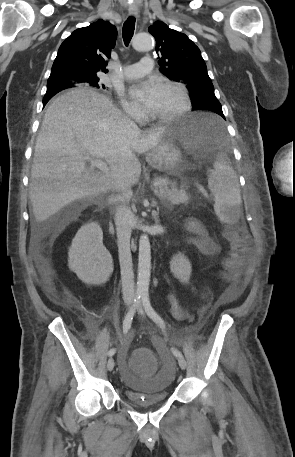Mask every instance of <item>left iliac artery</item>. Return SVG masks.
<instances>
[{"label": "left iliac artery", "instance_id": "1", "mask_svg": "<svg viewBox=\"0 0 295 457\" xmlns=\"http://www.w3.org/2000/svg\"><path fill=\"white\" fill-rule=\"evenodd\" d=\"M142 303L147 312L148 316L158 325L160 328L165 329L164 320L157 314V312L152 308L149 300V295L147 293L142 294ZM172 353L177 357H182V353L175 349L171 348Z\"/></svg>", "mask_w": 295, "mask_h": 457}]
</instances>
